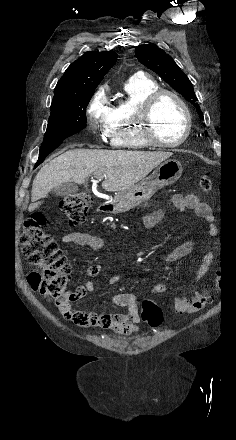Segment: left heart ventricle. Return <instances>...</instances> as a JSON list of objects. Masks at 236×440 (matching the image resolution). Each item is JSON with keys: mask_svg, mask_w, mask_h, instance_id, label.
I'll return each mask as SVG.
<instances>
[{"mask_svg": "<svg viewBox=\"0 0 236 440\" xmlns=\"http://www.w3.org/2000/svg\"><path fill=\"white\" fill-rule=\"evenodd\" d=\"M155 133L163 142H174L181 138L185 129V116L180 105L170 96L157 102L154 112Z\"/></svg>", "mask_w": 236, "mask_h": 440, "instance_id": "obj_1", "label": "left heart ventricle"}]
</instances>
